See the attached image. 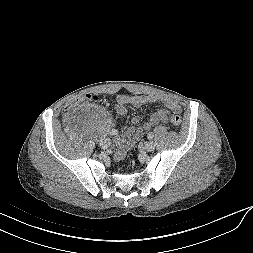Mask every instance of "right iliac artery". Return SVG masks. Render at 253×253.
<instances>
[{"label": "right iliac artery", "instance_id": "obj_1", "mask_svg": "<svg viewBox=\"0 0 253 253\" xmlns=\"http://www.w3.org/2000/svg\"><path fill=\"white\" fill-rule=\"evenodd\" d=\"M107 132H108L109 135H117L118 134V130L115 129V128L108 129Z\"/></svg>", "mask_w": 253, "mask_h": 253}]
</instances>
